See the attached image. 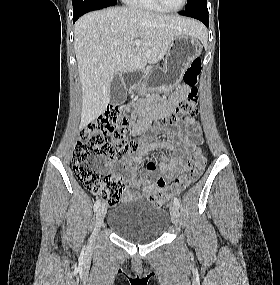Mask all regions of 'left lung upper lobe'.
<instances>
[{
	"mask_svg": "<svg viewBox=\"0 0 280 285\" xmlns=\"http://www.w3.org/2000/svg\"><path fill=\"white\" fill-rule=\"evenodd\" d=\"M207 8V0H188L185 11Z\"/></svg>",
	"mask_w": 280,
	"mask_h": 285,
	"instance_id": "5c2ea615",
	"label": "left lung upper lobe"
}]
</instances>
